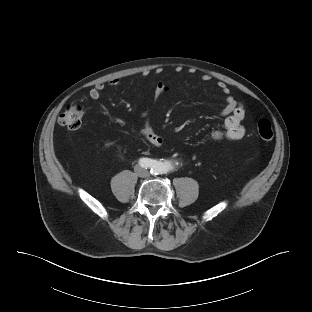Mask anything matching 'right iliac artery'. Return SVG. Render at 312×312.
I'll list each match as a JSON object with an SVG mask.
<instances>
[{
	"label": "right iliac artery",
	"mask_w": 312,
	"mask_h": 312,
	"mask_svg": "<svg viewBox=\"0 0 312 312\" xmlns=\"http://www.w3.org/2000/svg\"><path fill=\"white\" fill-rule=\"evenodd\" d=\"M139 164H140L141 167L147 169V168L153 167L155 162H154V160L149 159V158H141L139 160Z\"/></svg>",
	"instance_id": "obj_1"
}]
</instances>
